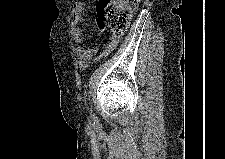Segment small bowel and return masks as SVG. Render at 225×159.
I'll return each mask as SVG.
<instances>
[{
    "mask_svg": "<svg viewBox=\"0 0 225 159\" xmlns=\"http://www.w3.org/2000/svg\"><path fill=\"white\" fill-rule=\"evenodd\" d=\"M85 12V4L83 2H77L74 4L70 17V26H71V36L75 43H81L83 41V36L81 29L79 28V23L81 22ZM101 30L104 29L99 24ZM120 38L110 37L109 42L105 46L104 50L98 56V53L101 49L100 46L92 48H83L81 46H74V54L78 60V66L81 70H86L89 62L95 58L104 57L112 52L117 44L119 43Z\"/></svg>",
    "mask_w": 225,
    "mask_h": 159,
    "instance_id": "small-bowel-1",
    "label": "small bowel"
}]
</instances>
